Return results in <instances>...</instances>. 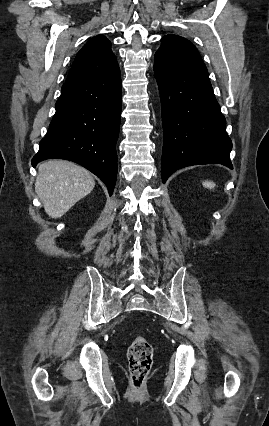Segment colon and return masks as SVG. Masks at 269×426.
I'll return each instance as SVG.
<instances>
[{"instance_id":"colon-1","label":"colon","mask_w":269,"mask_h":426,"mask_svg":"<svg viewBox=\"0 0 269 426\" xmlns=\"http://www.w3.org/2000/svg\"><path fill=\"white\" fill-rule=\"evenodd\" d=\"M129 373L134 389L140 390L153 364V349L144 336H137L128 350Z\"/></svg>"}]
</instances>
